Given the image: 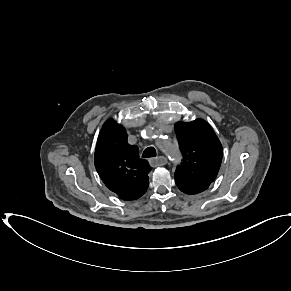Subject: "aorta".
<instances>
[{
  "mask_svg": "<svg viewBox=\"0 0 291 291\" xmlns=\"http://www.w3.org/2000/svg\"><path fill=\"white\" fill-rule=\"evenodd\" d=\"M159 148L166 156L171 158L176 157L179 153L177 147L172 143L161 142Z\"/></svg>",
  "mask_w": 291,
  "mask_h": 291,
  "instance_id": "1",
  "label": "aorta"
}]
</instances>
